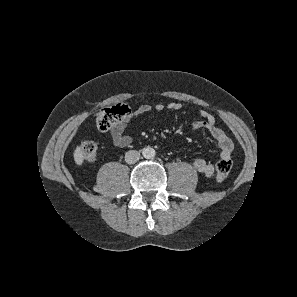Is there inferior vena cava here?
<instances>
[{
  "label": "inferior vena cava",
  "instance_id": "inferior-vena-cava-1",
  "mask_svg": "<svg viewBox=\"0 0 297 297\" xmlns=\"http://www.w3.org/2000/svg\"><path fill=\"white\" fill-rule=\"evenodd\" d=\"M140 159V153L136 150H130L125 154V161L128 164H134Z\"/></svg>",
  "mask_w": 297,
  "mask_h": 297
}]
</instances>
